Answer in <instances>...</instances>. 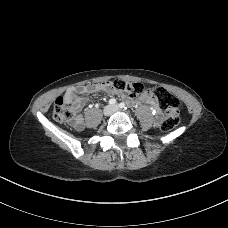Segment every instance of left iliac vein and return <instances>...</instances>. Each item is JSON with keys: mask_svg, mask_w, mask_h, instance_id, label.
I'll return each instance as SVG.
<instances>
[{"mask_svg": "<svg viewBox=\"0 0 228 228\" xmlns=\"http://www.w3.org/2000/svg\"><path fill=\"white\" fill-rule=\"evenodd\" d=\"M118 109H119V108H118L117 105H114V106H113V110H114V111H117Z\"/></svg>", "mask_w": 228, "mask_h": 228, "instance_id": "4c4485c4", "label": "left iliac vein"}]
</instances>
